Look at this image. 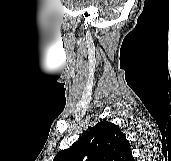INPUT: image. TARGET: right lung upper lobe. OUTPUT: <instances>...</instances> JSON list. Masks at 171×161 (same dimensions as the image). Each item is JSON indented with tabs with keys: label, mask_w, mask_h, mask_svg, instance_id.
Here are the masks:
<instances>
[{
	"label": "right lung upper lobe",
	"mask_w": 171,
	"mask_h": 161,
	"mask_svg": "<svg viewBox=\"0 0 171 161\" xmlns=\"http://www.w3.org/2000/svg\"><path fill=\"white\" fill-rule=\"evenodd\" d=\"M53 161H134L130 143L119 126L101 121Z\"/></svg>",
	"instance_id": "cb5924a9"
}]
</instances>
